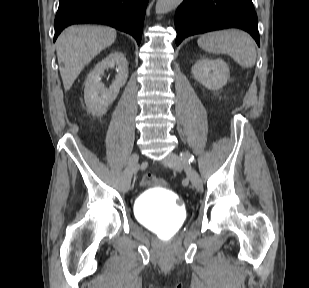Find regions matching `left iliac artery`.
<instances>
[{
    "instance_id": "1",
    "label": "left iliac artery",
    "mask_w": 309,
    "mask_h": 288,
    "mask_svg": "<svg viewBox=\"0 0 309 288\" xmlns=\"http://www.w3.org/2000/svg\"><path fill=\"white\" fill-rule=\"evenodd\" d=\"M180 156L185 163H190V162L195 161L194 156L190 155L189 153H180Z\"/></svg>"
}]
</instances>
